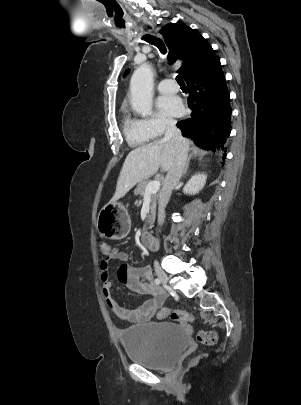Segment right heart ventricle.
<instances>
[{
  "label": "right heart ventricle",
  "mask_w": 301,
  "mask_h": 405,
  "mask_svg": "<svg viewBox=\"0 0 301 405\" xmlns=\"http://www.w3.org/2000/svg\"><path fill=\"white\" fill-rule=\"evenodd\" d=\"M122 128L131 146L144 145L154 138V135L144 125L143 120L133 116L129 111L123 113Z\"/></svg>",
  "instance_id": "obj_1"
}]
</instances>
